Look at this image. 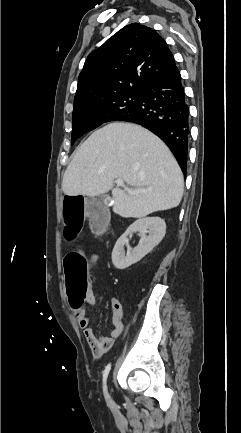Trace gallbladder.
Returning <instances> with one entry per match:
<instances>
[{"label":"gallbladder","instance_id":"gallbladder-1","mask_svg":"<svg viewBox=\"0 0 241 433\" xmlns=\"http://www.w3.org/2000/svg\"><path fill=\"white\" fill-rule=\"evenodd\" d=\"M101 199L103 201H107V197L105 195H101ZM87 213L91 216H99L100 214H109L108 208L100 202L98 199L89 197L87 199Z\"/></svg>","mask_w":241,"mask_h":433}]
</instances>
